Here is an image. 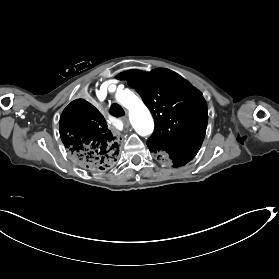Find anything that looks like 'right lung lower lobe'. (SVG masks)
<instances>
[{"label": "right lung lower lobe", "instance_id": "98d812e1", "mask_svg": "<svg viewBox=\"0 0 279 279\" xmlns=\"http://www.w3.org/2000/svg\"><path fill=\"white\" fill-rule=\"evenodd\" d=\"M59 130L65 148L79 167L99 171L116 161L121 137L89 102L72 101L61 114Z\"/></svg>", "mask_w": 279, "mask_h": 279}]
</instances>
